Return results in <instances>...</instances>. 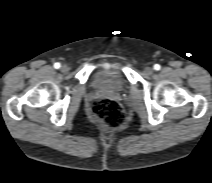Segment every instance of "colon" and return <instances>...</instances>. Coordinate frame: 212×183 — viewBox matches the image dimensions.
Instances as JSON below:
<instances>
[{
    "label": "colon",
    "mask_w": 212,
    "mask_h": 183,
    "mask_svg": "<svg viewBox=\"0 0 212 183\" xmlns=\"http://www.w3.org/2000/svg\"><path fill=\"white\" fill-rule=\"evenodd\" d=\"M92 118L106 129L112 130L125 122L122 106L112 99H99L91 105Z\"/></svg>",
    "instance_id": "1"
}]
</instances>
